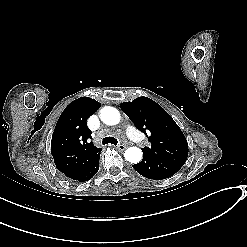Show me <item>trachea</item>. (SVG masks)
I'll use <instances>...</instances> for the list:
<instances>
[{
    "label": "trachea",
    "instance_id": "trachea-1",
    "mask_svg": "<svg viewBox=\"0 0 247 247\" xmlns=\"http://www.w3.org/2000/svg\"><path fill=\"white\" fill-rule=\"evenodd\" d=\"M102 144L106 145V144H113V145H117L118 144V140L114 137H105L102 140Z\"/></svg>",
    "mask_w": 247,
    "mask_h": 247
}]
</instances>
